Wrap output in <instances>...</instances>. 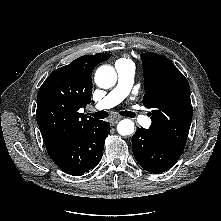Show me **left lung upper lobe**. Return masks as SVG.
Masks as SVG:
<instances>
[{"label": "left lung upper lobe", "instance_id": "1", "mask_svg": "<svg viewBox=\"0 0 221 221\" xmlns=\"http://www.w3.org/2000/svg\"><path fill=\"white\" fill-rule=\"evenodd\" d=\"M145 95L143 105L152 124L148 129L161 140L184 147L192 120L190 88L174 64L161 55L141 54Z\"/></svg>", "mask_w": 221, "mask_h": 221}]
</instances>
